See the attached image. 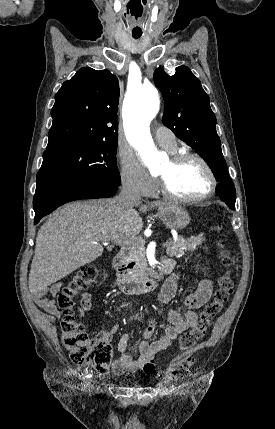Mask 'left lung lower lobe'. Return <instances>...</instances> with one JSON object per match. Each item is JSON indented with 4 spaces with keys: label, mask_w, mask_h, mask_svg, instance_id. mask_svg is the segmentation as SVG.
I'll list each match as a JSON object with an SVG mask.
<instances>
[{
    "label": "left lung lower lobe",
    "mask_w": 275,
    "mask_h": 429,
    "mask_svg": "<svg viewBox=\"0 0 275 429\" xmlns=\"http://www.w3.org/2000/svg\"><path fill=\"white\" fill-rule=\"evenodd\" d=\"M216 194L220 197V199L222 200V198L224 197V190L222 186H217L216 188ZM235 209V208H233Z\"/></svg>",
    "instance_id": "left-lung-lower-lobe-1"
}]
</instances>
